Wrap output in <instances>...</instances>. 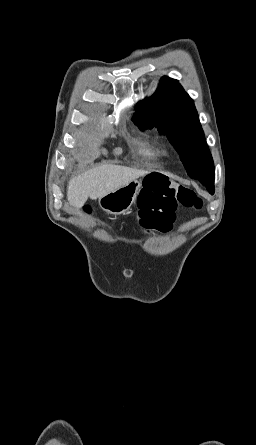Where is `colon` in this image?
<instances>
[{
  "label": "colon",
  "mask_w": 256,
  "mask_h": 445,
  "mask_svg": "<svg viewBox=\"0 0 256 445\" xmlns=\"http://www.w3.org/2000/svg\"><path fill=\"white\" fill-rule=\"evenodd\" d=\"M139 222L143 229L170 230L175 211L181 208L200 209L201 199L196 193L183 185L162 175L149 176L138 195ZM89 211V207H85Z\"/></svg>",
  "instance_id": "5ec220e1"
}]
</instances>
